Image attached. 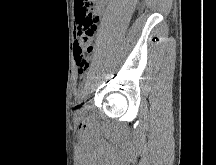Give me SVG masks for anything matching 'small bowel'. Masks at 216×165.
<instances>
[{"instance_id": "c3829d8e", "label": "small bowel", "mask_w": 216, "mask_h": 165, "mask_svg": "<svg viewBox=\"0 0 216 165\" xmlns=\"http://www.w3.org/2000/svg\"><path fill=\"white\" fill-rule=\"evenodd\" d=\"M107 1L108 0H75L76 28L84 17L82 12L85 8L92 11V13L98 18V16L104 12Z\"/></svg>"}]
</instances>
